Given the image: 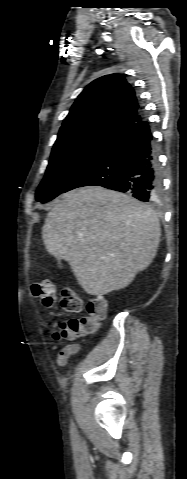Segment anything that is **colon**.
Wrapping results in <instances>:
<instances>
[{"label": "colon", "mask_w": 187, "mask_h": 479, "mask_svg": "<svg viewBox=\"0 0 187 479\" xmlns=\"http://www.w3.org/2000/svg\"><path fill=\"white\" fill-rule=\"evenodd\" d=\"M32 294L45 306L55 305L58 299L61 309L69 314L79 313L84 307L86 308V316L72 318L58 324V332L55 335L57 339H72L92 333L107 314V302L104 297L95 296L85 304L73 288L65 287L58 298L55 286L50 280L34 283Z\"/></svg>", "instance_id": "colon-1"}]
</instances>
